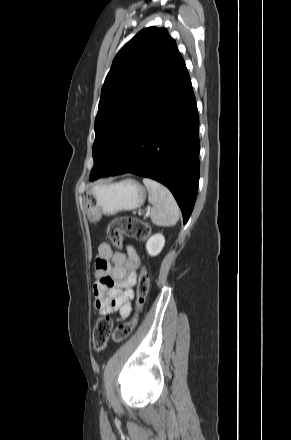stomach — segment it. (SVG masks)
<instances>
[{"mask_svg": "<svg viewBox=\"0 0 291 440\" xmlns=\"http://www.w3.org/2000/svg\"><path fill=\"white\" fill-rule=\"evenodd\" d=\"M146 199V189L134 179L94 185L86 192L85 211L91 222L102 214L115 215L141 207Z\"/></svg>", "mask_w": 291, "mask_h": 440, "instance_id": "obj_1", "label": "stomach"}]
</instances>
